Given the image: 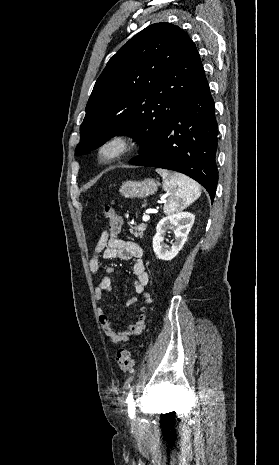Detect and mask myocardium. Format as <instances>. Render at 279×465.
<instances>
[{
	"mask_svg": "<svg viewBox=\"0 0 279 465\" xmlns=\"http://www.w3.org/2000/svg\"><path fill=\"white\" fill-rule=\"evenodd\" d=\"M135 144L136 137L130 132L120 131L111 134L98 146V159L103 163L117 161L128 154Z\"/></svg>",
	"mask_w": 279,
	"mask_h": 465,
	"instance_id": "myocardium-1",
	"label": "myocardium"
}]
</instances>
